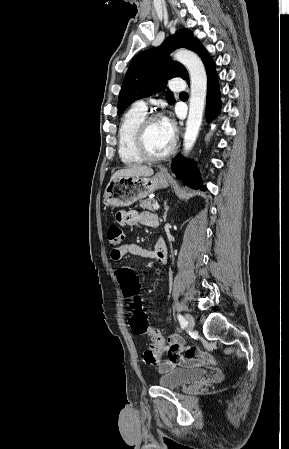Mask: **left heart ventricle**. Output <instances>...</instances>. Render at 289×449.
Wrapping results in <instances>:
<instances>
[{
  "label": "left heart ventricle",
  "mask_w": 289,
  "mask_h": 449,
  "mask_svg": "<svg viewBox=\"0 0 289 449\" xmlns=\"http://www.w3.org/2000/svg\"><path fill=\"white\" fill-rule=\"evenodd\" d=\"M173 137L163 120L155 121L149 126L146 134L147 148L150 153L161 155L170 148Z\"/></svg>",
  "instance_id": "1"
}]
</instances>
